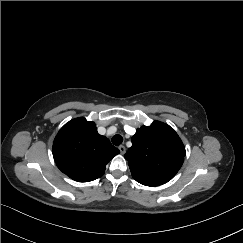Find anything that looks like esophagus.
I'll list each match as a JSON object with an SVG mask.
<instances>
[{
    "label": "esophagus",
    "instance_id": "1",
    "mask_svg": "<svg viewBox=\"0 0 243 243\" xmlns=\"http://www.w3.org/2000/svg\"><path fill=\"white\" fill-rule=\"evenodd\" d=\"M118 148H119L121 154H124L126 152V148L124 145H120Z\"/></svg>",
    "mask_w": 243,
    "mask_h": 243
}]
</instances>
